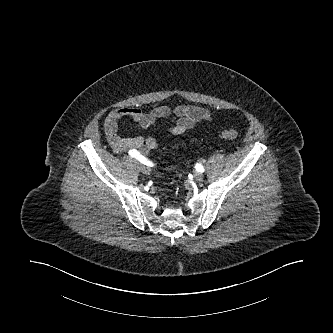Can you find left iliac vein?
<instances>
[{
	"instance_id": "4c4485c4",
	"label": "left iliac vein",
	"mask_w": 333,
	"mask_h": 333,
	"mask_svg": "<svg viewBox=\"0 0 333 333\" xmlns=\"http://www.w3.org/2000/svg\"><path fill=\"white\" fill-rule=\"evenodd\" d=\"M203 174L202 173H200V172H195L194 173V179L197 181V182H200V181H202L203 180Z\"/></svg>"
}]
</instances>
